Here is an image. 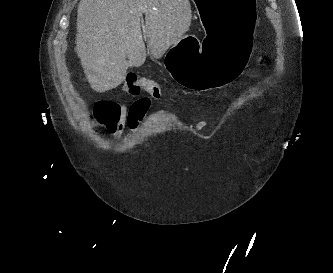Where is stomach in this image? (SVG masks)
I'll list each match as a JSON object with an SVG mask.
<instances>
[{
  "mask_svg": "<svg viewBox=\"0 0 333 273\" xmlns=\"http://www.w3.org/2000/svg\"><path fill=\"white\" fill-rule=\"evenodd\" d=\"M204 28L200 49L193 35L182 36L167 53L166 67L183 87L207 91L243 75L253 51L257 0H193Z\"/></svg>",
  "mask_w": 333,
  "mask_h": 273,
  "instance_id": "1",
  "label": "stomach"
}]
</instances>
